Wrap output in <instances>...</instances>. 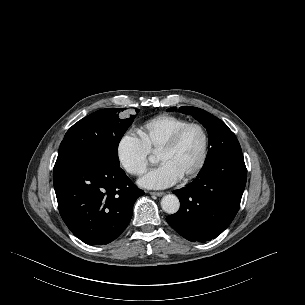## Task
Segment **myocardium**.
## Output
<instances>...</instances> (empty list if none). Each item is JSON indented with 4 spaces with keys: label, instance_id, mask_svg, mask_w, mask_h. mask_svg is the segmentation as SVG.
I'll list each match as a JSON object with an SVG mask.
<instances>
[{
    "label": "myocardium",
    "instance_id": "obj_1",
    "mask_svg": "<svg viewBox=\"0 0 305 305\" xmlns=\"http://www.w3.org/2000/svg\"><path fill=\"white\" fill-rule=\"evenodd\" d=\"M191 128H197L201 132L203 136V151L200 161L198 162L196 167L192 169L190 172H188L186 175H184L182 177L183 180H190L196 177L204 169L207 163L209 157V151H210V138L207 129L200 123L189 122L186 125L182 126L180 129H178L169 138V140L164 145H162V147L158 151V154H161L163 152H168L176 148V146L179 144L184 134Z\"/></svg>",
    "mask_w": 305,
    "mask_h": 305
}]
</instances>
